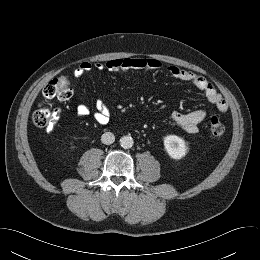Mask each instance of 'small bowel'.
Instances as JSON below:
<instances>
[{
    "instance_id": "obj_1",
    "label": "small bowel",
    "mask_w": 260,
    "mask_h": 260,
    "mask_svg": "<svg viewBox=\"0 0 260 260\" xmlns=\"http://www.w3.org/2000/svg\"><path fill=\"white\" fill-rule=\"evenodd\" d=\"M92 65L88 61L80 63L73 71L76 78H81L84 74L89 72ZM95 68L99 71L107 69L112 72L118 71H156L162 68L159 60L147 57H126L122 59H111L106 63H97ZM168 73L181 81H185L194 85L197 89L204 92L209 102L214 104L218 111L226 112L228 105L222 95L216 90L212 83H210L203 76L184 70L177 66L167 67ZM89 114V108L85 104H80L77 107V116L80 118L86 117ZM110 111L108 107L102 102L98 101L96 104V111L94 114L95 121L100 125H106L109 121ZM206 112L203 109H196L187 113L174 112L171 116L172 122L183 129L184 131L194 134L198 132V125L205 119Z\"/></svg>"
}]
</instances>
